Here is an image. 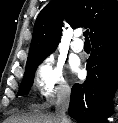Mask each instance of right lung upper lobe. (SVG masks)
<instances>
[{
    "mask_svg": "<svg viewBox=\"0 0 118 123\" xmlns=\"http://www.w3.org/2000/svg\"><path fill=\"white\" fill-rule=\"evenodd\" d=\"M64 19L72 28H89L94 41L118 28V4L116 0H54L47 4L35 22L26 69L56 49Z\"/></svg>",
    "mask_w": 118,
    "mask_h": 123,
    "instance_id": "1",
    "label": "right lung upper lobe"
}]
</instances>
